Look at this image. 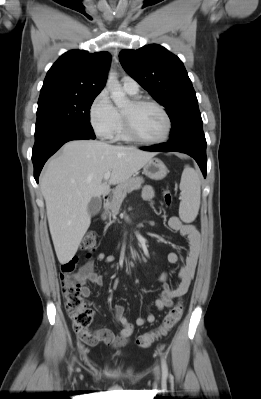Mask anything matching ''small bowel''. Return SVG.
I'll return each mask as SVG.
<instances>
[{
	"instance_id": "obj_1",
	"label": "small bowel",
	"mask_w": 261,
	"mask_h": 399,
	"mask_svg": "<svg viewBox=\"0 0 261 399\" xmlns=\"http://www.w3.org/2000/svg\"><path fill=\"white\" fill-rule=\"evenodd\" d=\"M141 197L144 201H152L154 198V189L150 186L143 187L141 191ZM168 225L171 230L179 232L187 239L188 252L185 257H182L176 252H172L168 255V261L170 263L176 264L180 261H183L184 265L180 269L179 284L176 288H172L168 285L166 282V274L161 275L160 280L163 283V290L159 298L155 301V306L158 310L171 307L173 305L174 299L180 298L187 293L195 274L201 250L200 234L194 225L182 222L178 216H171L168 219ZM96 260L111 264L116 261V257L114 255H107L104 252H99L96 255ZM75 280L80 285L81 294L84 297H88L91 294V290L87 285L88 283L96 285H102L103 283L102 276L96 273L94 270L93 260L86 262L77 271L75 274ZM114 316L117 322L122 326L119 332H114L108 328H100L94 332L89 331L88 339L79 338L89 346H96L99 343H104L114 348H119L126 345L129 337L133 333L135 325L143 326L155 321V316L153 314H149L145 317L138 318L135 323H132L128 320L125 314L124 306L120 304L115 305Z\"/></svg>"
}]
</instances>
